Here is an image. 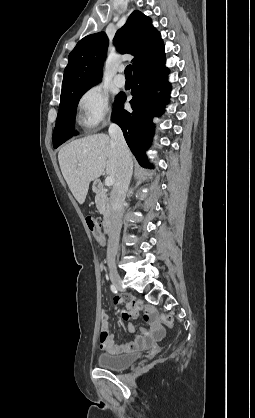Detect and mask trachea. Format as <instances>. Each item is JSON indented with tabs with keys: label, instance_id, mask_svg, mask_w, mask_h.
I'll return each mask as SVG.
<instances>
[{
	"label": "trachea",
	"instance_id": "1",
	"mask_svg": "<svg viewBox=\"0 0 255 418\" xmlns=\"http://www.w3.org/2000/svg\"><path fill=\"white\" fill-rule=\"evenodd\" d=\"M125 76L126 77H131L132 76V65H128L125 68Z\"/></svg>",
	"mask_w": 255,
	"mask_h": 418
}]
</instances>
